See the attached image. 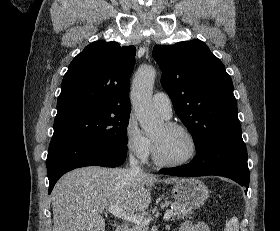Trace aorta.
Returning <instances> with one entry per match:
<instances>
[{
  "mask_svg": "<svg viewBox=\"0 0 280 231\" xmlns=\"http://www.w3.org/2000/svg\"><path fill=\"white\" fill-rule=\"evenodd\" d=\"M156 78L153 66H140L132 82L131 102L140 127L146 133H154L162 123V117L154 112L152 90Z\"/></svg>",
  "mask_w": 280,
  "mask_h": 231,
  "instance_id": "aorta-1",
  "label": "aorta"
}]
</instances>
